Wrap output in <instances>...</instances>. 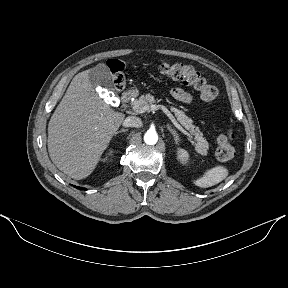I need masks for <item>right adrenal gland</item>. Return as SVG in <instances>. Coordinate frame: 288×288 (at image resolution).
I'll use <instances>...</instances> for the list:
<instances>
[{"instance_id": "1", "label": "right adrenal gland", "mask_w": 288, "mask_h": 288, "mask_svg": "<svg viewBox=\"0 0 288 288\" xmlns=\"http://www.w3.org/2000/svg\"><path fill=\"white\" fill-rule=\"evenodd\" d=\"M128 131V129H120L119 131H117L116 133H115V135H117V134H119V133H122V132H127Z\"/></svg>"}]
</instances>
